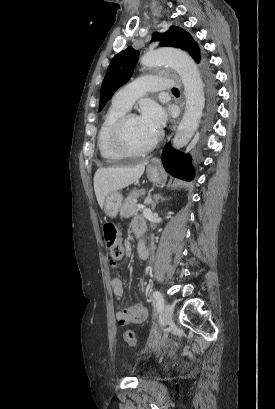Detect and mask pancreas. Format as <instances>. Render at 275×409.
Listing matches in <instances>:
<instances>
[{"label": "pancreas", "mask_w": 275, "mask_h": 409, "mask_svg": "<svg viewBox=\"0 0 275 409\" xmlns=\"http://www.w3.org/2000/svg\"><path fill=\"white\" fill-rule=\"evenodd\" d=\"M145 188H140V190H133L131 194H128L127 198H125L123 205L120 209V217H124V219H128V217H132L135 213H138L139 209H137L136 205V198L139 194H144Z\"/></svg>", "instance_id": "1"}]
</instances>
